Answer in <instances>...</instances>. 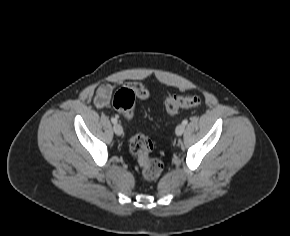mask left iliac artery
Listing matches in <instances>:
<instances>
[{"instance_id":"left-iliac-artery-1","label":"left iliac artery","mask_w":290,"mask_h":236,"mask_svg":"<svg viewBox=\"0 0 290 236\" xmlns=\"http://www.w3.org/2000/svg\"><path fill=\"white\" fill-rule=\"evenodd\" d=\"M187 123H188L187 119L183 120V122H182L183 125H187Z\"/></svg>"}]
</instances>
